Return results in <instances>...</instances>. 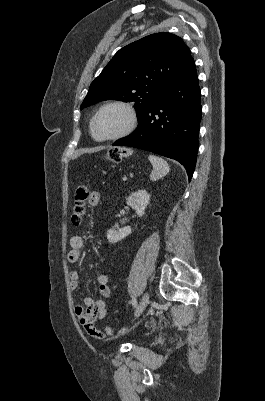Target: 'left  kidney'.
<instances>
[{"label":"left kidney","mask_w":265,"mask_h":401,"mask_svg":"<svg viewBox=\"0 0 265 401\" xmlns=\"http://www.w3.org/2000/svg\"><path fill=\"white\" fill-rule=\"evenodd\" d=\"M149 201L150 194H148L147 190H144L143 188V190L131 192L126 203L136 211L138 217H143V215H145L144 211L147 205H149ZM131 231V227H124V229H118V231H115V229H109V231H107V239L109 243H118V241H122V239H125L127 235H130Z\"/></svg>","instance_id":"obj_1"}]
</instances>
